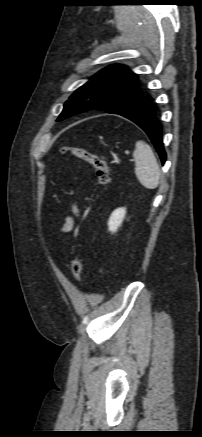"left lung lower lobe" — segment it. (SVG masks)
I'll list each match as a JSON object with an SVG mask.
<instances>
[{
  "label": "left lung lower lobe",
  "instance_id": "1",
  "mask_svg": "<svg viewBox=\"0 0 202 437\" xmlns=\"http://www.w3.org/2000/svg\"><path fill=\"white\" fill-rule=\"evenodd\" d=\"M155 105L149 96L141 95L131 101L112 108L107 113L121 115L141 127L152 141L162 164L165 163L166 153L161 138V125L155 116Z\"/></svg>",
  "mask_w": 202,
  "mask_h": 437
}]
</instances>
